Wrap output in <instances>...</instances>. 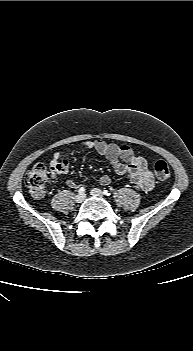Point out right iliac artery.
Wrapping results in <instances>:
<instances>
[{"label": "right iliac artery", "instance_id": "1", "mask_svg": "<svg viewBox=\"0 0 193 351\" xmlns=\"http://www.w3.org/2000/svg\"><path fill=\"white\" fill-rule=\"evenodd\" d=\"M85 191H86L85 187H81V188L78 190L79 194H84Z\"/></svg>", "mask_w": 193, "mask_h": 351}]
</instances>
